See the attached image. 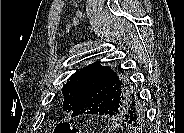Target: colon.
Returning a JSON list of instances; mask_svg holds the SVG:
<instances>
[{
    "label": "colon",
    "mask_w": 184,
    "mask_h": 133,
    "mask_svg": "<svg viewBox=\"0 0 184 133\" xmlns=\"http://www.w3.org/2000/svg\"><path fill=\"white\" fill-rule=\"evenodd\" d=\"M79 132L80 130L77 127L72 126L67 122L59 123L54 129V133H79Z\"/></svg>",
    "instance_id": "5ec220e1"
}]
</instances>
